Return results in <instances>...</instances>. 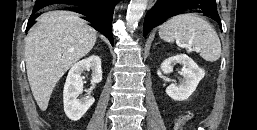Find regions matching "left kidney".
<instances>
[{
  "label": "left kidney",
  "mask_w": 257,
  "mask_h": 130,
  "mask_svg": "<svg viewBox=\"0 0 257 130\" xmlns=\"http://www.w3.org/2000/svg\"><path fill=\"white\" fill-rule=\"evenodd\" d=\"M176 63L184 66L181 71L183 80L179 85L170 84L166 88V94L173 100L183 101L188 99L196 90L197 85L205 76V72L185 54L176 55L164 60L161 64L162 72L170 74L173 71V65Z\"/></svg>",
  "instance_id": "5707ae66"
}]
</instances>
